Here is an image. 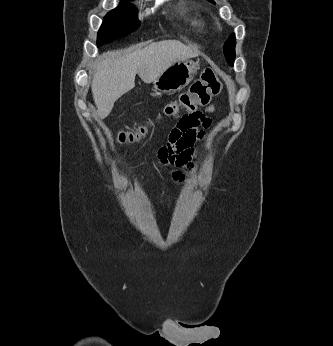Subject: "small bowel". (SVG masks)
<instances>
[{
  "mask_svg": "<svg viewBox=\"0 0 333 346\" xmlns=\"http://www.w3.org/2000/svg\"><path fill=\"white\" fill-rule=\"evenodd\" d=\"M214 106L207 107L206 112L211 113ZM211 121L203 115L186 116L178 121V124L169 134L167 143L158 151V159L165 166H173L174 180L181 182L184 178L183 169H192L193 161L197 157V151L193 148L196 140H203L205 131Z\"/></svg>",
  "mask_w": 333,
  "mask_h": 346,
  "instance_id": "obj_1",
  "label": "small bowel"
}]
</instances>
